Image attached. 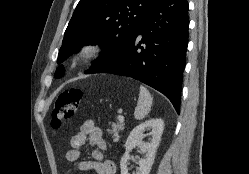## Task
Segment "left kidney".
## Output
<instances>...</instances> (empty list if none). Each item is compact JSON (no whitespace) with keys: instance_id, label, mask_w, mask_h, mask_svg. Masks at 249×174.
I'll return each instance as SVG.
<instances>
[{"instance_id":"5707ae66","label":"left kidney","mask_w":249,"mask_h":174,"mask_svg":"<svg viewBox=\"0 0 249 174\" xmlns=\"http://www.w3.org/2000/svg\"><path fill=\"white\" fill-rule=\"evenodd\" d=\"M147 129H152L150 133L152 139L148 143L143 141L144 132ZM163 129V120L156 118L139 124L131 131L125 143L126 152L120 161L121 174H129L127 169V163L130 159L129 152L135 146H138L141 152L146 154L144 159H140L138 161L139 169L136 174H149L154 163L155 154L161 140Z\"/></svg>"}]
</instances>
